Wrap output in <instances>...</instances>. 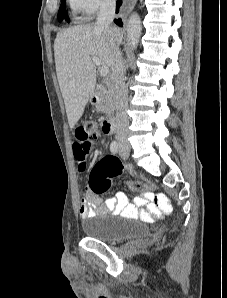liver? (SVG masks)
I'll list each match as a JSON object with an SVG mask.
<instances>
[{
    "mask_svg": "<svg viewBox=\"0 0 227 298\" xmlns=\"http://www.w3.org/2000/svg\"><path fill=\"white\" fill-rule=\"evenodd\" d=\"M121 40L119 28L105 29L94 23L72 26L57 34L56 73L70 128L81 118L95 89L96 68L92 57H97L102 66L112 67Z\"/></svg>",
    "mask_w": 227,
    "mask_h": 298,
    "instance_id": "liver-1",
    "label": "liver"
}]
</instances>
